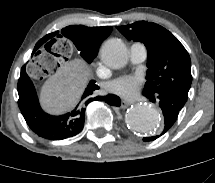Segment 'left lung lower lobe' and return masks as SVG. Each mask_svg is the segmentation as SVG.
<instances>
[{"instance_id":"0a47b994","label":"left lung lower lobe","mask_w":215,"mask_h":183,"mask_svg":"<svg viewBox=\"0 0 215 183\" xmlns=\"http://www.w3.org/2000/svg\"><path fill=\"white\" fill-rule=\"evenodd\" d=\"M143 95L148 97L152 102H155V100L158 101L159 106L162 109V112L164 115L165 126H164L163 132L161 133V135H163L175 123L180 110L185 105V102H183L180 98H178L176 95L171 93H159L157 95H146V94H143ZM158 137L159 136L145 137L143 138V140L152 141Z\"/></svg>"}]
</instances>
